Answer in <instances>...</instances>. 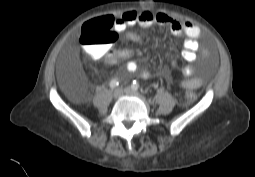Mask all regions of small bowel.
I'll return each mask as SVG.
<instances>
[{"label": "small bowel", "mask_w": 255, "mask_h": 177, "mask_svg": "<svg viewBox=\"0 0 255 177\" xmlns=\"http://www.w3.org/2000/svg\"><path fill=\"white\" fill-rule=\"evenodd\" d=\"M105 17L115 31L123 33L125 39L133 42H140L139 37L133 33H125L124 31L128 27L135 25L148 27L156 24L168 28L175 36L185 37L181 56L188 63L194 62L199 53L202 56L207 55V50H201L198 42L201 30L192 22L180 21L164 13L154 14L150 11H125L117 17L111 15ZM89 54L93 59L103 57L108 64H115L120 60H128L126 63V70L129 73H136L139 70L138 64L134 60H130L131 56L134 54L133 49L102 50L93 47L89 50ZM166 58L172 66L177 65L178 61L172 55L167 54ZM142 75L148 77L149 73L143 72ZM182 75L183 78L178 82V86L183 89H198L204 83L202 77L195 75V67L191 64L183 67Z\"/></svg>", "instance_id": "small-bowel-1"}]
</instances>
